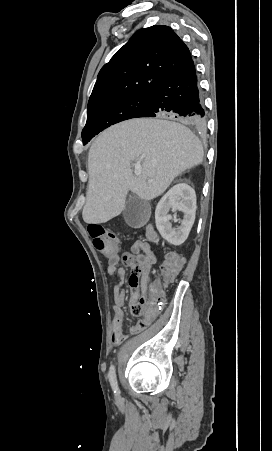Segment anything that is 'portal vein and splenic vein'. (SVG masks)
Wrapping results in <instances>:
<instances>
[{"instance_id": "obj_1", "label": "portal vein and splenic vein", "mask_w": 272, "mask_h": 451, "mask_svg": "<svg viewBox=\"0 0 272 451\" xmlns=\"http://www.w3.org/2000/svg\"><path fill=\"white\" fill-rule=\"evenodd\" d=\"M134 174H135V176H140L141 172H140V170H135Z\"/></svg>"}]
</instances>
